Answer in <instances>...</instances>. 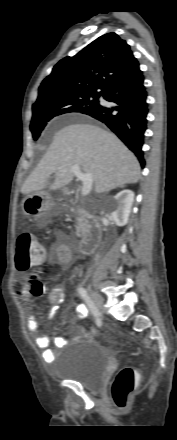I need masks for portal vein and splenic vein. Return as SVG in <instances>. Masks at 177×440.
<instances>
[{"instance_id": "obj_1", "label": "portal vein and splenic vein", "mask_w": 177, "mask_h": 440, "mask_svg": "<svg viewBox=\"0 0 177 440\" xmlns=\"http://www.w3.org/2000/svg\"><path fill=\"white\" fill-rule=\"evenodd\" d=\"M72 171L77 179L82 181V190L81 194L86 196L90 193L93 184V175L90 173H82L80 167L78 165L72 166Z\"/></svg>"}]
</instances>
